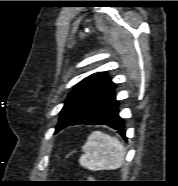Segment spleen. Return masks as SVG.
Wrapping results in <instances>:
<instances>
[{"instance_id": "spleen-1", "label": "spleen", "mask_w": 178, "mask_h": 186, "mask_svg": "<svg viewBox=\"0 0 178 186\" xmlns=\"http://www.w3.org/2000/svg\"><path fill=\"white\" fill-rule=\"evenodd\" d=\"M80 164L90 170H114L124 163L125 148L114 136L93 132L83 145Z\"/></svg>"}]
</instances>
